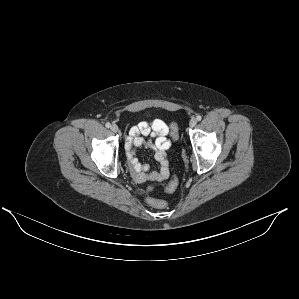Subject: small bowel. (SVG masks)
Returning a JSON list of instances; mask_svg holds the SVG:
<instances>
[{
	"label": "small bowel",
	"instance_id": "c3829d8e",
	"mask_svg": "<svg viewBox=\"0 0 299 299\" xmlns=\"http://www.w3.org/2000/svg\"><path fill=\"white\" fill-rule=\"evenodd\" d=\"M169 127L160 120L155 119L151 123L140 122L130 129L126 142V152L134 179L138 183H149L148 190H152L153 185L169 177L170 168L166 155V150L170 147L168 138ZM147 137V139L145 138ZM150 147L155 152V159L158 168L151 171L148 164H141L136 158V148Z\"/></svg>",
	"mask_w": 299,
	"mask_h": 299
}]
</instances>
